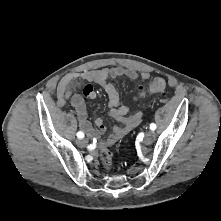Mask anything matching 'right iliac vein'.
Masks as SVG:
<instances>
[{
	"label": "right iliac vein",
	"instance_id": "right-iliac-vein-1",
	"mask_svg": "<svg viewBox=\"0 0 221 221\" xmlns=\"http://www.w3.org/2000/svg\"><path fill=\"white\" fill-rule=\"evenodd\" d=\"M88 144V140L87 139H80L77 140V145L80 147H85Z\"/></svg>",
	"mask_w": 221,
	"mask_h": 221
}]
</instances>
